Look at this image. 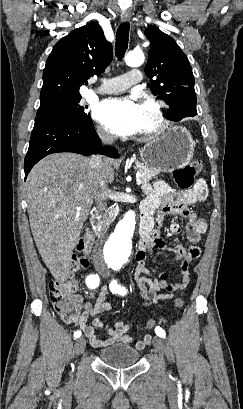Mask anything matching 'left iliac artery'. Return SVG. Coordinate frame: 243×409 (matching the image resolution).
<instances>
[{"label":"left iliac artery","mask_w":243,"mask_h":409,"mask_svg":"<svg viewBox=\"0 0 243 409\" xmlns=\"http://www.w3.org/2000/svg\"><path fill=\"white\" fill-rule=\"evenodd\" d=\"M109 286H110V290H111L113 293H119V294H121V295H125V294H126V289H125L123 286L119 285L118 282H117V280H113V281L110 283ZM155 332H156V334H157L159 337H161V338H165V336H166L165 331H164L161 327H156V328H155Z\"/></svg>","instance_id":"left-iliac-artery-1"}]
</instances>
